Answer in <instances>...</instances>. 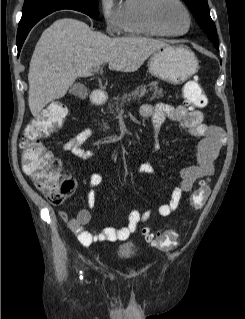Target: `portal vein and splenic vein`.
Instances as JSON below:
<instances>
[{
    "label": "portal vein and splenic vein",
    "instance_id": "18ae733b",
    "mask_svg": "<svg viewBox=\"0 0 245 319\" xmlns=\"http://www.w3.org/2000/svg\"><path fill=\"white\" fill-rule=\"evenodd\" d=\"M99 69H101V67H98V68L94 69V71H98Z\"/></svg>",
    "mask_w": 245,
    "mask_h": 319
}]
</instances>
